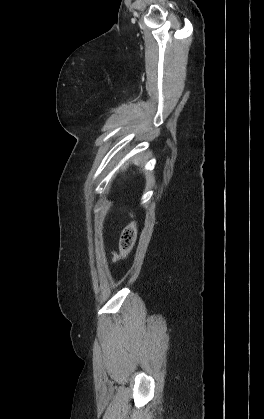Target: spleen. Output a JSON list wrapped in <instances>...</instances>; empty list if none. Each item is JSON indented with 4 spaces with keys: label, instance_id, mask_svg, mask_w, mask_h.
I'll return each mask as SVG.
<instances>
[{
    "label": "spleen",
    "instance_id": "3e777b00",
    "mask_svg": "<svg viewBox=\"0 0 264 419\" xmlns=\"http://www.w3.org/2000/svg\"><path fill=\"white\" fill-rule=\"evenodd\" d=\"M134 163H135V164H138V160H137V159H134Z\"/></svg>",
    "mask_w": 264,
    "mask_h": 419
}]
</instances>
